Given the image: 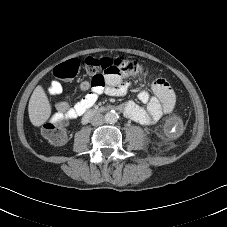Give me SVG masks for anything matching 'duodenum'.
<instances>
[{
  "label": "duodenum",
  "mask_w": 227,
  "mask_h": 227,
  "mask_svg": "<svg viewBox=\"0 0 227 227\" xmlns=\"http://www.w3.org/2000/svg\"><path fill=\"white\" fill-rule=\"evenodd\" d=\"M98 110H90L82 118V122L86 124L91 118L97 114Z\"/></svg>",
  "instance_id": "410a0bca"
}]
</instances>
